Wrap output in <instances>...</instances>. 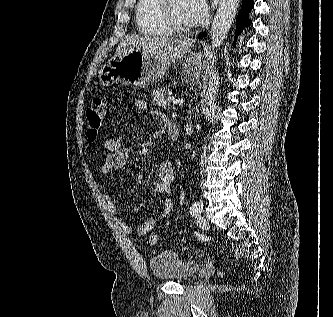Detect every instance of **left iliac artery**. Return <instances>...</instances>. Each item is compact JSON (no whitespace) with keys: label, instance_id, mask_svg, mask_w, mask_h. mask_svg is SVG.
I'll return each instance as SVG.
<instances>
[{"label":"left iliac artery","instance_id":"44dca946","mask_svg":"<svg viewBox=\"0 0 333 317\" xmlns=\"http://www.w3.org/2000/svg\"><path fill=\"white\" fill-rule=\"evenodd\" d=\"M203 210V206L200 202H194L190 208L191 215H195L201 213Z\"/></svg>","mask_w":333,"mask_h":317}]
</instances>
